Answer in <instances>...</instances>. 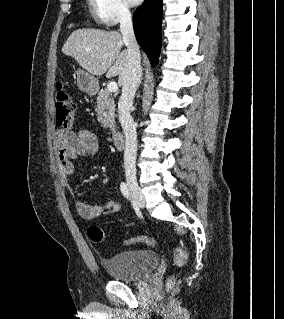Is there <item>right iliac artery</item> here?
Listing matches in <instances>:
<instances>
[{"label":"right iliac artery","mask_w":284,"mask_h":319,"mask_svg":"<svg viewBox=\"0 0 284 319\" xmlns=\"http://www.w3.org/2000/svg\"><path fill=\"white\" fill-rule=\"evenodd\" d=\"M120 190H121L122 194H123L126 198L131 199L129 189H128L127 185H126L124 182H122V183L120 184Z\"/></svg>","instance_id":"1"}]
</instances>
